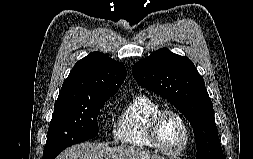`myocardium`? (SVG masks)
I'll return each mask as SVG.
<instances>
[{
  "mask_svg": "<svg viewBox=\"0 0 253 159\" xmlns=\"http://www.w3.org/2000/svg\"><path fill=\"white\" fill-rule=\"evenodd\" d=\"M174 115L176 116L180 122L182 123L185 131V139L182 147L177 150V151H169L165 149L160 141H159V124L162 118L165 115ZM190 136H191V131H190V126L185 119V117L177 110L174 109H169V108H162L159 111H157L150 119V122L148 124V137L154 148L159 150L161 153L171 156V157H176V156H181L184 154V152L187 150L189 143H190Z\"/></svg>",
  "mask_w": 253,
  "mask_h": 159,
  "instance_id": "1",
  "label": "myocardium"
}]
</instances>
